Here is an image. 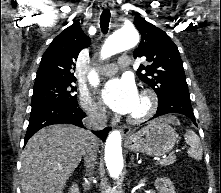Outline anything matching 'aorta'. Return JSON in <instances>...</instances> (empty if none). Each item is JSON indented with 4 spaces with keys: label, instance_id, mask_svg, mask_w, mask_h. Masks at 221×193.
I'll use <instances>...</instances> for the list:
<instances>
[{
    "label": "aorta",
    "instance_id": "aorta-1",
    "mask_svg": "<svg viewBox=\"0 0 221 193\" xmlns=\"http://www.w3.org/2000/svg\"><path fill=\"white\" fill-rule=\"evenodd\" d=\"M138 42L139 34L134 28H121L108 38L102 48V56L110 57L136 46ZM105 162L110 176L118 178L123 169L121 133L118 130L112 131L106 140Z\"/></svg>",
    "mask_w": 221,
    "mask_h": 193
}]
</instances>
